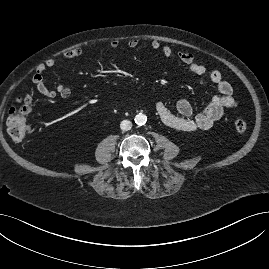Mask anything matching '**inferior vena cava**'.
Masks as SVG:
<instances>
[{"label": "inferior vena cava", "instance_id": "602c4592", "mask_svg": "<svg viewBox=\"0 0 269 269\" xmlns=\"http://www.w3.org/2000/svg\"><path fill=\"white\" fill-rule=\"evenodd\" d=\"M120 128L123 131H128L132 128V123L129 120H123L120 124Z\"/></svg>", "mask_w": 269, "mask_h": 269}]
</instances>
